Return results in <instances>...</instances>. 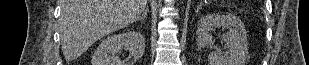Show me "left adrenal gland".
<instances>
[{"label":"left adrenal gland","mask_w":309,"mask_h":65,"mask_svg":"<svg viewBox=\"0 0 309 65\" xmlns=\"http://www.w3.org/2000/svg\"><path fill=\"white\" fill-rule=\"evenodd\" d=\"M198 11H199V7L197 8V13H198Z\"/></svg>","instance_id":"left-adrenal-gland-1"}]
</instances>
